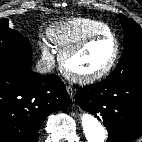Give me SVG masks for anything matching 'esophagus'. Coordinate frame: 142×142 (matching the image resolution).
Listing matches in <instances>:
<instances>
[{"mask_svg":"<svg viewBox=\"0 0 142 142\" xmlns=\"http://www.w3.org/2000/svg\"><path fill=\"white\" fill-rule=\"evenodd\" d=\"M66 90H67V92H68L70 98L73 100V98H74V90H73V88L70 87V86H67V87H66Z\"/></svg>","mask_w":142,"mask_h":142,"instance_id":"1","label":"esophagus"}]
</instances>
